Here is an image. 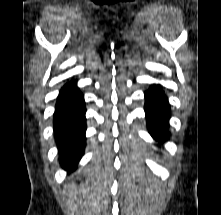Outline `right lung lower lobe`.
I'll use <instances>...</instances> for the list:
<instances>
[{
	"mask_svg": "<svg viewBox=\"0 0 221 215\" xmlns=\"http://www.w3.org/2000/svg\"><path fill=\"white\" fill-rule=\"evenodd\" d=\"M85 103L76 81L66 83L60 90L55 105L54 134L59 148V159L68 172L76 168L85 148Z\"/></svg>",
	"mask_w": 221,
	"mask_h": 215,
	"instance_id": "1",
	"label": "right lung lower lobe"
}]
</instances>
